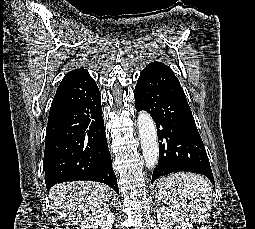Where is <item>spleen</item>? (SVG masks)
I'll list each match as a JSON object with an SVG mask.
<instances>
[{
  "mask_svg": "<svg viewBox=\"0 0 255 229\" xmlns=\"http://www.w3.org/2000/svg\"><path fill=\"white\" fill-rule=\"evenodd\" d=\"M175 182L179 188H165L162 183ZM159 196L180 213L197 223H206L211 212L212 189L201 175L189 172L171 174L160 180Z\"/></svg>",
  "mask_w": 255,
  "mask_h": 229,
  "instance_id": "obj_1",
  "label": "spleen"
}]
</instances>
